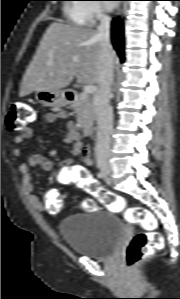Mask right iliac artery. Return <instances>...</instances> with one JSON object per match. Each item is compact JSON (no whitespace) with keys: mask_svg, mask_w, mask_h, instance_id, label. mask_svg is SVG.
I'll list each match as a JSON object with an SVG mask.
<instances>
[{"mask_svg":"<svg viewBox=\"0 0 180 299\" xmlns=\"http://www.w3.org/2000/svg\"><path fill=\"white\" fill-rule=\"evenodd\" d=\"M98 177L102 179V178L105 177V174H104L103 172H99V173H98Z\"/></svg>","mask_w":180,"mask_h":299,"instance_id":"right-iliac-artery-1","label":"right iliac artery"}]
</instances>
